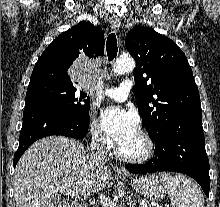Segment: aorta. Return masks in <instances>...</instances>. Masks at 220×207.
<instances>
[{
    "label": "aorta",
    "mask_w": 220,
    "mask_h": 207,
    "mask_svg": "<svg viewBox=\"0 0 220 207\" xmlns=\"http://www.w3.org/2000/svg\"><path fill=\"white\" fill-rule=\"evenodd\" d=\"M135 61L131 57H121L116 60L113 66V72L122 75L135 69Z\"/></svg>",
    "instance_id": "1"
}]
</instances>
